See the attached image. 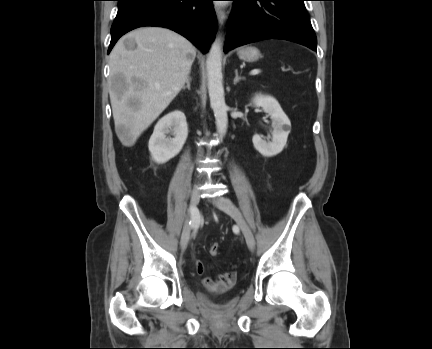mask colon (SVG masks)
I'll use <instances>...</instances> for the list:
<instances>
[{"mask_svg":"<svg viewBox=\"0 0 432 349\" xmlns=\"http://www.w3.org/2000/svg\"><path fill=\"white\" fill-rule=\"evenodd\" d=\"M209 253L211 256H217L219 253V245L218 243H213L209 248Z\"/></svg>","mask_w":432,"mask_h":349,"instance_id":"obj_1","label":"colon"}]
</instances>
